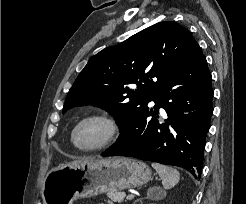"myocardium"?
<instances>
[{"instance_id":"obj_1","label":"myocardium","mask_w":246,"mask_h":204,"mask_svg":"<svg viewBox=\"0 0 246 204\" xmlns=\"http://www.w3.org/2000/svg\"><path fill=\"white\" fill-rule=\"evenodd\" d=\"M90 121H97L102 123L105 126V133L103 137L94 145L91 146H82L78 143L76 134L78 129L85 123ZM120 134V125L116 118L106 113H91L80 118L71 131V141L73 145L85 152H93L105 149L111 146L117 140Z\"/></svg>"}]
</instances>
